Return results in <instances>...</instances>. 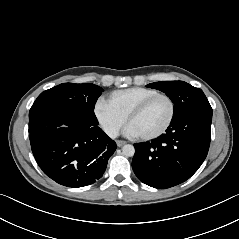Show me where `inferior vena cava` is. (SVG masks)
Here are the masks:
<instances>
[{"instance_id": "inferior-vena-cava-1", "label": "inferior vena cava", "mask_w": 239, "mask_h": 239, "mask_svg": "<svg viewBox=\"0 0 239 239\" xmlns=\"http://www.w3.org/2000/svg\"><path fill=\"white\" fill-rule=\"evenodd\" d=\"M103 130L112 139L116 138L119 135L118 128L114 126H110V125L104 126Z\"/></svg>"}]
</instances>
